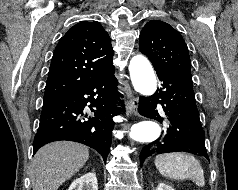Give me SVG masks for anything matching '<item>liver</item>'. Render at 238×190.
<instances>
[{
	"mask_svg": "<svg viewBox=\"0 0 238 190\" xmlns=\"http://www.w3.org/2000/svg\"><path fill=\"white\" fill-rule=\"evenodd\" d=\"M88 158V147L76 142L56 141L43 146L35 154L31 166L33 190H57Z\"/></svg>",
	"mask_w": 238,
	"mask_h": 190,
	"instance_id": "6515ba94",
	"label": "liver"
}]
</instances>
